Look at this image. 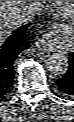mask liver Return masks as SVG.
<instances>
[{
	"instance_id": "obj_1",
	"label": "liver",
	"mask_w": 74,
	"mask_h": 122,
	"mask_svg": "<svg viewBox=\"0 0 74 122\" xmlns=\"http://www.w3.org/2000/svg\"><path fill=\"white\" fill-rule=\"evenodd\" d=\"M35 1H0V43L20 25L21 11L33 6Z\"/></svg>"
}]
</instances>
